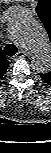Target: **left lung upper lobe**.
<instances>
[{"label": "left lung upper lobe", "instance_id": "left-lung-upper-lobe-1", "mask_svg": "<svg viewBox=\"0 0 51 153\" xmlns=\"http://www.w3.org/2000/svg\"><path fill=\"white\" fill-rule=\"evenodd\" d=\"M36 11L51 40V0H40ZM40 76L46 83L51 85V71Z\"/></svg>", "mask_w": 51, "mask_h": 153}]
</instances>
